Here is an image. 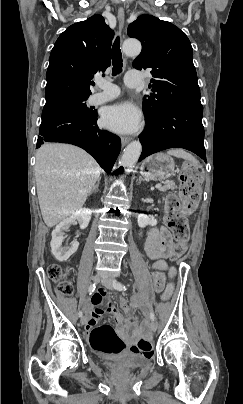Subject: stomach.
Returning <instances> with one entry per match:
<instances>
[{
	"instance_id": "stomach-1",
	"label": "stomach",
	"mask_w": 243,
	"mask_h": 404,
	"mask_svg": "<svg viewBox=\"0 0 243 404\" xmlns=\"http://www.w3.org/2000/svg\"><path fill=\"white\" fill-rule=\"evenodd\" d=\"M174 160L167 154L157 153L145 159L141 166V174L146 180L161 181L174 175Z\"/></svg>"
}]
</instances>
